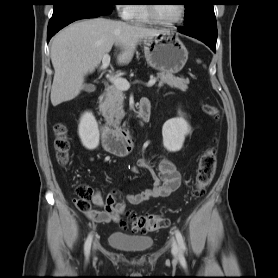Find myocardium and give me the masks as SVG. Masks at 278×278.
<instances>
[{
	"label": "myocardium",
	"instance_id": "obj_1",
	"mask_svg": "<svg viewBox=\"0 0 278 278\" xmlns=\"http://www.w3.org/2000/svg\"><path fill=\"white\" fill-rule=\"evenodd\" d=\"M146 11H147V16H148L150 22H152V23H154L156 25H159V26H163V27H174V26L180 24L184 20V17L186 15V6L183 3L180 4V14H179L178 18L175 19L172 22L161 21L156 16V14L154 12V6L151 5V4H147L146 5Z\"/></svg>",
	"mask_w": 278,
	"mask_h": 278
}]
</instances>
